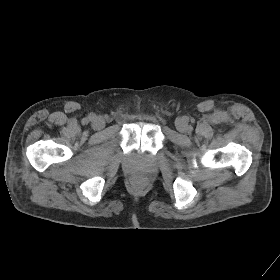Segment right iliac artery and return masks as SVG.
I'll return each mask as SVG.
<instances>
[{
	"instance_id": "82829eb1",
	"label": "right iliac artery",
	"mask_w": 280,
	"mask_h": 280,
	"mask_svg": "<svg viewBox=\"0 0 280 280\" xmlns=\"http://www.w3.org/2000/svg\"><path fill=\"white\" fill-rule=\"evenodd\" d=\"M93 119H94V116H93V115H90L89 117L85 118V119L83 120V122L88 123L89 121H92Z\"/></svg>"
}]
</instances>
